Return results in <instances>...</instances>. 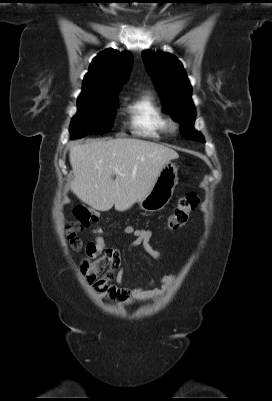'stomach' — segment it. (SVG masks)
<instances>
[{
	"label": "stomach",
	"instance_id": "obj_1",
	"mask_svg": "<svg viewBox=\"0 0 272 401\" xmlns=\"http://www.w3.org/2000/svg\"><path fill=\"white\" fill-rule=\"evenodd\" d=\"M177 170L171 161L163 166L148 194L138 201L141 209L155 212L163 209L169 203L178 183Z\"/></svg>",
	"mask_w": 272,
	"mask_h": 401
}]
</instances>
